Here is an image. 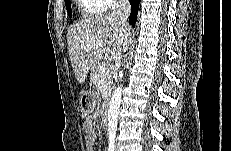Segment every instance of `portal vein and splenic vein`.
Listing matches in <instances>:
<instances>
[{"label": "portal vein and splenic vein", "mask_w": 231, "mask_h": 151, "mask_svg": "<svg viewBox=\"0 0 231 151\" xmlns=\"http://www.w3.org/2000/svg\"><path fill=\"white\" fill-rule=\"evenodd\" d=\"M99 47H101V43H95V44H93V45L89 48V50H90L91 48H99ZM109 71H110V69H109V66H108V65L102 64V65L99 66V72H100L101 74H108Z\"/></svg>", "instance_id": "portal-vein-and-splenic-vein-1"}]
</instances>
